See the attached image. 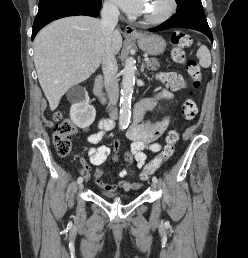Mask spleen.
<instances>
[{
    "instance_id": "spleen-1",
    "label": "spleen",
    "mask_w": 248,
    "mask_h": 258,
    "mask_svg": "<svg viewBox=\"0 0 248 258\" xmlns=\"http://www.w3.org/2000/svg\"><path fill=\"white\" fill-rule=\"evenodd\" d=\"M199 49L197 51V58L199 59V64L203 68H208L211 65V55L210 51L205 45H201V43H198Z\"/></svg>"
}]
</instances>
